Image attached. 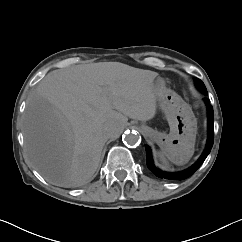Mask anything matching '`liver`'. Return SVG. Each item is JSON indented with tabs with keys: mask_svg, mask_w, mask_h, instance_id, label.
Instances as JSON below:
<instances>
[{
	"mask_svg": "<svg viewBox=\"0 0 242 242\" xmlns=\"http://www.w3.org/2000/svg\"><path fill=\"white\" fill-rule=\"evenodd\" d=\"M162 86L165 80L157 72L120 62L81 64L49 73L28 97L23 116L31 163L53 185L88 183L110 138L107 125L120 121L119 136L128 118L152 119Z\"/></svg>",
	"mask_w": 242,
	"mask_h": 242,
	"instance_id": "1",
	"label": "liver"
}]
</instances>
